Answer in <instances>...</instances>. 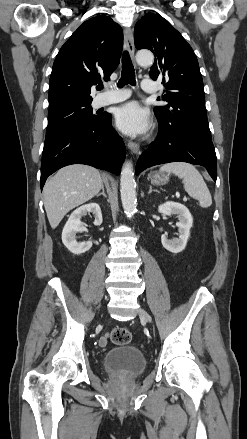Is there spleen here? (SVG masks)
Here are the masks:
<instances>
[{
	"mask_svg": "<svg viewBox=\"0 0 247 439\" xmlns=\"http://www.w3.org/2000/svg\"><path fill=\"white\" fill-rule=\"evenodd\" d=\"M173 173L182 179L185 191L192 198L199 201L202 208H208L212 204V197L208 187L199 173L191 164L185 162H171L160 167V172Z\"/></svg>",
	"mask_w": 247,
	"mask_h": 439,
	"instance_id": "3e777b00",
	"label": "spleen"
}]
</instances>
